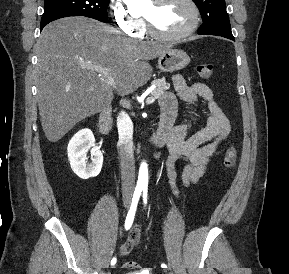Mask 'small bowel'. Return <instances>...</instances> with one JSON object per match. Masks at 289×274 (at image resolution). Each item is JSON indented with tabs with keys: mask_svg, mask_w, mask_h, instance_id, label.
<instances>
[{
	"mask_svg": "<svg viewBox=\"0 0 289 274\" xmlns=\"http://www.w3.org/2000/svg\"><path fill=\"white\" fill-rule=\"evenodd\" d=\"M173 86L175 94L166 92L160 99L162 113L173 111L176 114L179 100L195 107L203 101L207 113L205 126L189 137L187 135L199 116L196 109L188 121L171 130L168 139L169 157L166 161L167 184L172 193L179 197L180 192L176 186L178 177L176 163L179 160L186 162L181 173L183 186L186 188L195 186L207 173L212 156L230 135L231 124L217 104L212 89L206 84L199 82L187 84L182 76L175 75ZM141 244V226L134 225L126 241L118 248V254L126 256Z\"/></svg>",
	"mask_w": 289,
	"mask_h": 274,
	"instance_id": "1",
	"label": "small bowel"
}]
</instances>
